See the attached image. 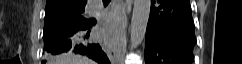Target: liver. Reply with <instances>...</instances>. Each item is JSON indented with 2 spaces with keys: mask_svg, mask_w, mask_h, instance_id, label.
Here are the masks:
<instances>
[{
  "mask_svg": "<svg viewBox=\"0 0 242 64\" xmlns=\"http://www.w3.org/2000/svg\"><path fill=\"white\" fill-rule=\"evenodd\" d=\"M50 64H96L93 60L75 54H62L54 57Z\"/></svg>",
  "mask_w": 242,
  "mask_h": 64,
  "instance_id": "liver-1",
  "label": "liver"
}]
</instances>
